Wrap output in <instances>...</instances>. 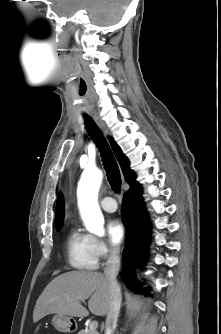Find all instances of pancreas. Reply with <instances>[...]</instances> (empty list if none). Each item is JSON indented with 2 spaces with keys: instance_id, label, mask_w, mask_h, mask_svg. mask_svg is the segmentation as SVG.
I'll return each instance as SVG.
<instances>
[{
  "instance_id": "1",
  "label": "pancreas",
  "mask_w": 221,
  "mask_h": 334,
  "mask_svg": "<svg viewBox=\"0 0 221 334\" xmlns=\"http://www.w3.org/2000/svg\"><path fill=\"white\" fill-rule=\"evenodd\" d=\"M77 334H99L97 331H91L89 330H81Z\"/></svg>"
}]
</instances>
